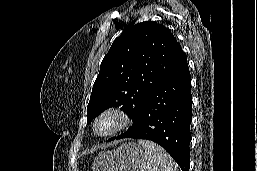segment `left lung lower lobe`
I'll return each instance as SVG.
<instances>
[{
	"label": "left lung lower lobe",
	"instance_id": "0a47b994",
	"mask_svg": "<svg viewBox=\"0 0 257 171\" xmlns=\"http://www.w3.org/2000/svg\"><path fill=\"white\" fill-rule=\"evenodd\" d=\"M190 86L187 57L181 49L164 72L156 90L132 127L116 139L154 141L172 156L182 171H189L192 120Z\"/></svg>",
	"mask_w": 257,
	"mask_h": 171
}]
</instances>
